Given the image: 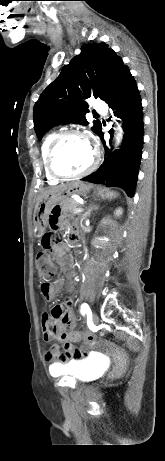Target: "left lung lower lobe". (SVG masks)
Masks as SVG:
<instances>
[{
	"label": "left lung lower lobe",
	"instance_id": "left-lung-lower-lobe-1",
	"mask_svg": "<svg viewBox=\"0 0 165 461\" xmlns=\"http://www.w3.org/2000/svg\"><path fill=\"white\" fill-rule=\"evenodd\" d=\"M105 102L114 111V115L123 120L125 135L121 148L114 153L108 150L101 130L98 136L105 146L106 159L96 172L81 180L117 186L133 197L142 155L144 125L141 97L129 69L123 72Z\"/></svg>",
	"mask_w": 165,
	"mask_h": 461
}]
</instances>
